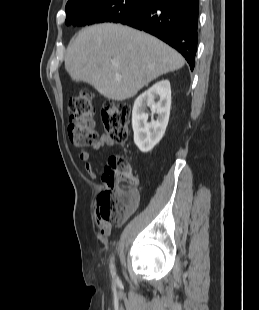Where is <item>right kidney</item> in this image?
I'll return each mask as SVG.
<instances>
[{
	"instance_id": "1",
	"label": "right kidney",
	"mask_w": 259,
	"mask_h": 310,
	"mask_svg": "<svg viewBox=\"0 0 259 310\" xmlns=\"http://www.w3.org/2000/svg\"><path fill=\"white\" fill-rule=\"evenodd\" d=\"M155 99H158L155 102ZM147 107L151 115L157 114V119L149 123ZM171 108V87L168 80L155 83L143 92L134 102L132 111V127L134 143L143 153L151 151L162 139L169 121Z\"/></svg>"
}]
</instances>
